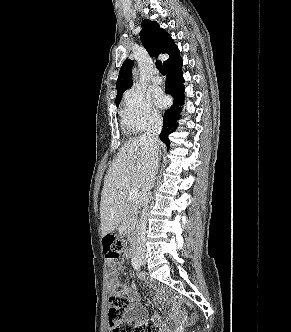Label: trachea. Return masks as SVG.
<instances>
[{
  "label": "trachea",
  "instance_id": "1",
  "mask_svg": "<svg viewBox=\"0 0 291 332\" xmlns=\"http://www.w3.org/2000/svg\"><path fill=\"white\" fill-rule=\"evenodd\" d=\"M156 67L160 71L161 74H165L166 73L165 70H164V68H163V66H162V62H156Z\"/></svg>",
  "mask_w": 291,
  "mask_h": 332
}]
</instances>
